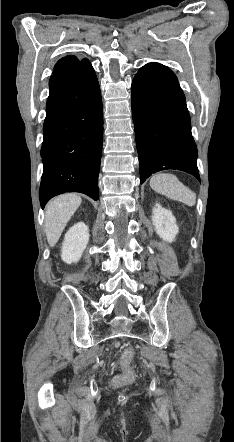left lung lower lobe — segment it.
<instances>
[{
	"mask_svg": "<svg viewBox=\"0 0 234 442\" xmlns=\"http://www.w3.org/2000/svg\"><path fill=\"white\" fill-rule=\"evenodd\" d=\"M131 104L141 184L166 169L200 181L190 116L175 74L158 63L143 66L132 82Z\"/></svg>",
	"mask_w": 234,
	"mask_h": 442,
	"instance_id": "left-lung-lower-lobe-1",
	"label": "left lung lower lobe"
}]
</instances>
